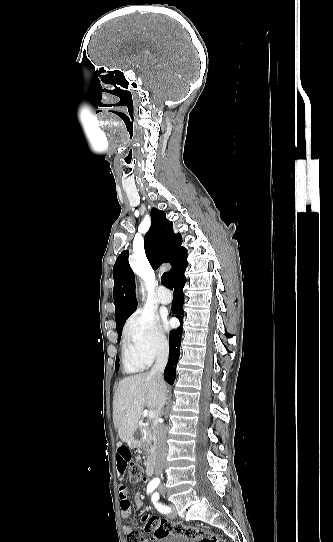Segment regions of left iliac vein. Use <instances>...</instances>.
<instances>
[{
	"instance_id": "4c4485c4",
	"label": "left iliac vein",
	"mask_w": 333,
	"mask_h": 542,
	"mask_svg": "<svg viewBox=\"0 0 333 542\" xmlns=\"http://www.w3.org/2000/svg\"><path fill=\"white\" fill-rule=\"evenodd\" d=\"M172 511L170 512L169 516L170 517H175L176 516V511H175V506L174 505H170Z\"/></svg>"
}]
</instances>
